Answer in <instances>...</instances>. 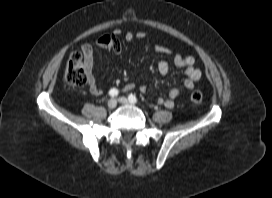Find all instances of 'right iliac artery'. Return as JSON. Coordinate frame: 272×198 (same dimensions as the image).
<instances>
[{
    "instance_id": "82829eb1",
    "label": "right iliac artery",
    "mask_w": 272,
    "mask_h": 198,
    "mask_svg": "<svg viewBox=\"0 0 272 198\" xmlns=\"http://www.w3.org/2000/svg\"><path fill=\"white\" fill-rule=\"evenodd\" d=\"M109 95L112 96V97H115L118 95V90L116 88H112L110 91H109Z\"/></svg>"
}]
</instances>
